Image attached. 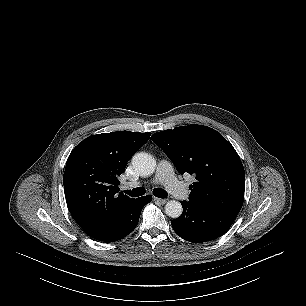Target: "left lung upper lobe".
Here are the masks:
<instances>
[{
	"instance_id": "5c2ea615",
	"label": "left lung upper lobe",
	"mask_w": 306,
	"mask_h": 306,
	"mask_svg": "<svg viewBox=\"0 0 306 306\" xmlns=\"http://www.w3.org/2000/svg\"><path fill=\"white\" fill-rule=\"evenodd\" d=\"M151 139L174 162L180 174L194 175L189 201L200 207L238 214L244 201L241 160L219 132L191 124L157 132Z\"/></svg>"
}]
</instances>
